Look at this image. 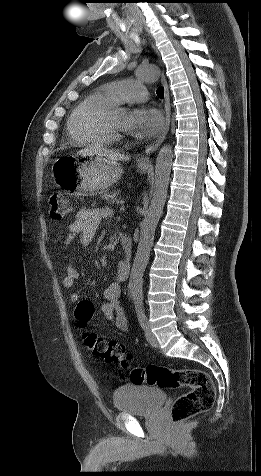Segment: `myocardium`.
<instances>
[{
	"label": "myocardium",
	"mask_w": 261,
	"mask_h": 476,
	"mask_svg": "<svg viewBox=\"0 0 261 476\" xmlns=\"http://www.w3.org/2000/svg\"><path fill=\"white\" fill-rule=\"evenodd\" d=\"M115 111H116V109L113 108L105 115L104 120H103V125H104L105 130L107 132H109L111 135L120 136V135L123 134L122 129L118 128L113 123V114H114Z\"/></svg>",
	"instance_id": "myocardium-1"
}]
</instances>
